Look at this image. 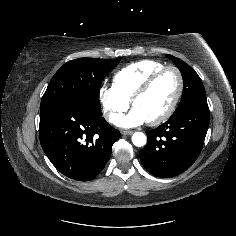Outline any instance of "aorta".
<instances>
[{
  "label": "aorta",
  "mask_w": 236,
  "mask_h": 236,
  "mask_svg": "<svg viewBox=\"0 0 236 236\" xmlns=\"http://www.w3.org/2000/svg\"><path fill=\"white\" fill-rule=\"evenodd\" d=\"M132 142L137 147H143L147 142V137L142 132H135L132 135Z\"/></svg>",
  "instance_id": "762f6f07"
}]
</instances>
